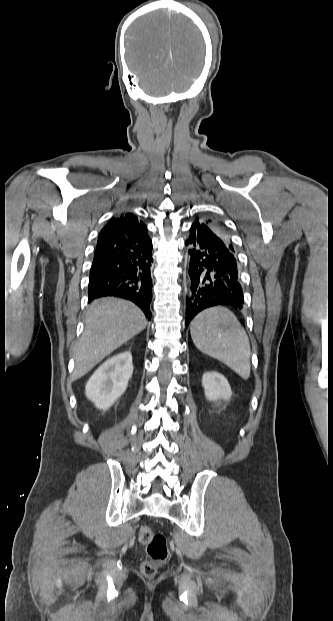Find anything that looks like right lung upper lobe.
Here are the masks:
<instances>
[{"label": "right lung upper lobe", "instance_id": "right-lung-upper-lobe-1", "mask_svg": "<svg viewBox=\"0 0 333 621\" xmlns=\"http://www.w3.org/2000/svg\"><path fill=\"white\" fill-rule=\"evenodd\" d=\"M118 245L127 249L147 248L152 244L147 227L132 213H124L118 218H112L101 230L97 246Z\"/></svg>", "mask_w": 333, "mask_h": 621}]
</instances>
